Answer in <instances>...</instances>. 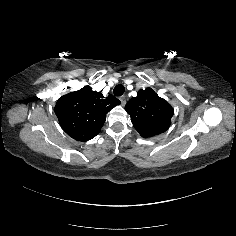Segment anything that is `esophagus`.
I'll list each match as a JSON object with an SVG mask.
<instances>
[{"label":"esophagus","mask_w":236,"mask_h":236,"mask_svg":"<svg viewBox=\"0 0 236 236\" xmlns=\"http://www.w3.org/2000/svg\"><path fill=\"white\" fill-rule=\"evenodd\" d=\"M119 100L121 101L122 106H124L126 104V97L123 95L119 98Z\"/></svg>","instance_id":"esophagus-1"}]
</instances>
